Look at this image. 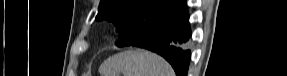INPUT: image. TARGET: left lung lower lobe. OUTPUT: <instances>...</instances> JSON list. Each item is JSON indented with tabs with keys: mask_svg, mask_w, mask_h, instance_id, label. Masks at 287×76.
Segmentation results:
<instances>
[{
	"mask_svg": "<svg viewBox=\"0 0 287 76\" xmlns=\"http://www.w3.org/2000/svg\"><path fill=\"white\" fill-rule=\"evenodd\" d=\"M190 36L189 16L184 6L130 45L158 53L172 65L177 76H187L190 50L186 45Z\"/></svg>",
	"mask_w": 287,
	"mask_h": 76,
	"instance_id": "0a47b994",
	"label": "left lung lower lobe"
}]
</instances>
